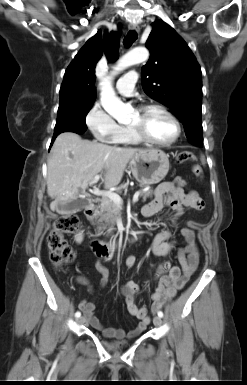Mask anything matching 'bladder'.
<instances>
[{
  "label": "bladder",
  "instance_id": "bladder-1",
  "mask_svg": "<svg viewBox=\"0 0 247 385\" xmlns=\"http://www.w3.org/2000/svg\"><path fill=\"white\" fill-rule=\"evenodd\" d=\"M111 346H117L119 343H110Z\"/></svg>",
  "mask_w": 247,
  "mask_h": 385
}]
</instances>
